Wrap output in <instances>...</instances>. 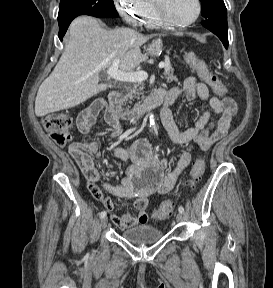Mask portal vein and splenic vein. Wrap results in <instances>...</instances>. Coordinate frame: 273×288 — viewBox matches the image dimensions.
I'll return each instance as SVG.
<instances>
[{
	"label": "portal vein and splenic vein",
	"mask_w": 273,
	"mask_h": 288,
	"mask_svg": "<svg viewBox=\"0 0 273 288\" xmlns=\"http://www.w3.org/2000/svg\"><path fill=\"white\" fill-rule=\"evenodd\" d=\"M119 60L116 59L112 63L111 67L106 71L107 75L117 81L122 82H141L148 78V74L145 71L137 72H123L118 69ZM165 67V63H160L159 68Z\"/></svg>",
	"instance_id": "1"
}]
</instances>
